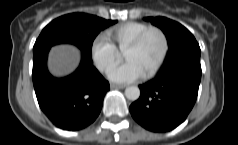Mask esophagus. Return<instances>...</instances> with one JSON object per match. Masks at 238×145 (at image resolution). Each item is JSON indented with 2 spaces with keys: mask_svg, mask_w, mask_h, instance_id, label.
I'll list each match as a JSON object with an SVG mask.
<instances>
[{
  "mask_svg": "<svg viewBox=\"0 0 238 145\" xmlns=\"http://www.w3.org/2000/svg\"><path fill=\"white\" fill-rule=\"evenodd\" d=\"M110 87L112 89H124L126 86L125 85H121V84H114V83H112V84H110Z\"/></svg>",
  "mask_w": 238,
  "mask_h": 145,
  "instance_id": "34e87169",
  "label": "esophagus"
}]
</instances>
